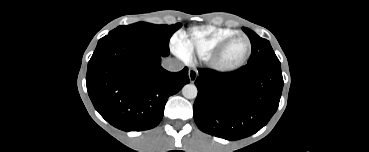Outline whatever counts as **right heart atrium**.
Masks as SVG:
<instances>
[{"label":"right heart atrium","mask_w":369,"mask_h":152,"mask_svg":"<svg viewBox=\"0 0 369 152\" xmlns=\"http://www.w3.org/2000/svg\"><path fill=\"white\" fill-rule=\"evenodd\" d=\"M176 44H177V46H174V48H176V49H178V50H179L178 43H177V39H176Z\"/></svg>","instance_id":"obj_1"}]
</instances>
